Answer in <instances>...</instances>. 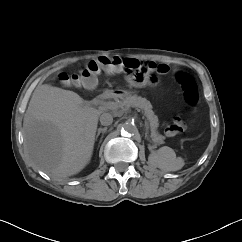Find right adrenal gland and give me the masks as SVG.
Returning a JSON list of instances; mask_svg holds the SVG:
<instances>
[{"label": "right adrenal gland", "mask_w": 242, "mask_h": 242, "mask_svg": "<svg viewBox=\"0 0 242 242\" xmlns=\"http://www.w3.org/2000/svg\"><path fill=\"white\" fill-rule=\"evenodd\" d=\"M107 131V127H104V128H99L98 131H97V134H96V140L97 138L99 137L100 133H105Z\"/></svg>", "instance_id": "2a0ac1e0"}]
</instances>
